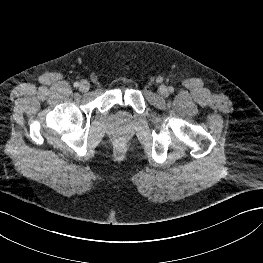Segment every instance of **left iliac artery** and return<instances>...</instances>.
<instances>
[{"instance_id":"1","label":"left iliac artery","mask_w":263,"mask_h":263,"mask_svg":"<svg viewBox=\"0 0 263 263\" xmlns=\"http://www.w3.org/2000/svg\"><path fill=\"white\" fill-rule=\"evenodd\" d=\"M174 91V88L173 87H169V92H173Z\"/></svg>"}]
</instances>
